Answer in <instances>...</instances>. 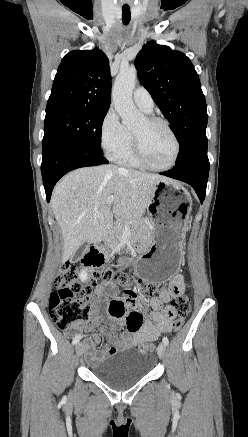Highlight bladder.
Here are the masks:
<instances>
[{
  "label": "bladder",
  "mask_w": 248,
  "mask_h": 437,
  "mask_svg": "<svg viewBox=\"0 0 248 437\" xmlns=\"http://www.w3.org/2000/svg\"><path fill=\"white\" fill-rule=\"evenodd\" d=\"M154 362L152 354L129 349L106 358L92 373L108 386L122 390L148 375Z\"/></svg>",
  "instance_id": "31cf9c89"
}]
</instances>
